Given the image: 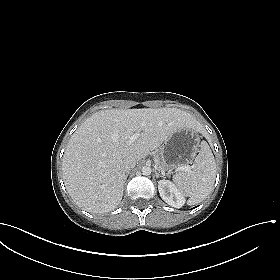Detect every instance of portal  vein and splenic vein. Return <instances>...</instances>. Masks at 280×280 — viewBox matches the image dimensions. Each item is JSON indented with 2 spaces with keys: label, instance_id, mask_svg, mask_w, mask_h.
I'll list each match as a JSON object with an SVG mask.
<instances>
[{
  "label": "portal vein and splenic vein",
  "instance_id": "18ae733b",
  "mask_svg": "<svg viewBox=\"0 0 280 280\" xmlns=\"http://www.w3.org/2000/svg\"><path fill=\"white\" fill-rule=\"evenodd\" d=\"M139 136H140L139 133L133 134V135L129 138L127 144H128V145L132 144L133 142H135V141L139 138ZM179 169L182 170V171H188V170L190 169V167H189V166H183V167H181V168H179Z\"/></svg>",
  "mask_w": 280,
  "mask_h": 280
}]
</instances>
